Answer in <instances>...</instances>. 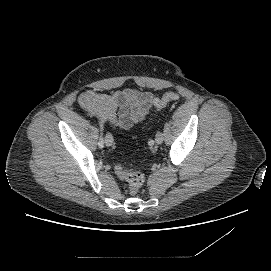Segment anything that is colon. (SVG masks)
<instances>
[{"instance_id":"obj_1","label":"colon","mask_w":271,"mask_h":271,"mask_svg":"<svg viewBox=\"0 0 271 271\" xmlns=\"http://www.w3.org/2000/svg\"><path fill=\"white\" fill-rule=\"evenodd\" d=\"M177 99L178 95L176 92L168 91L162 97L155 100L154 107L157 110L163 109L169 103L177 101ZM115 173L120 179L127 182L129 192L133 195L138 193L145 181V177L141 172L127 170L121 165L115 166Z\"/></svg>"}]
</instances>
